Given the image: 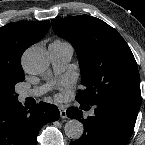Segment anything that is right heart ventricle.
Segmentation results:
<instances>
[{
  "mask_svg": "<svg viewBox=\"0 0 145 145\" xmlns=\"http://www.w3.org/2000/svg\"><path fill=\"white\" fill-rule=\"evenodd\" d=\"M52 44L64 45V44H68V43L65 41H62V40H55Z\"/></svg>",
  "mask_w": 145,
  "mask_h": 145,
  "instance_id": "1",
  "label": "right heart ventricle"
}]
</instances>
